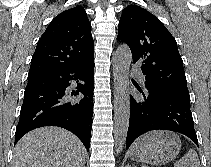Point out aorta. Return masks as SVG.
<instances>
[{"label": "aorta", "mask_w": 211, "mask_h": 167, "mask_svg": "<svg viewBox=\"0 0 211 167\" xmlns=\"http://www.w3.org/2000/svg\"><path fill=\"white\" fill-rule=\"evenodd\" d=\"M132 61L130 48L120 45L113 57L114 76V139L117 152H121L126 142L129 114V70Z\"/></svg>", "instance_id": "aorta-1"}]
</instances>
